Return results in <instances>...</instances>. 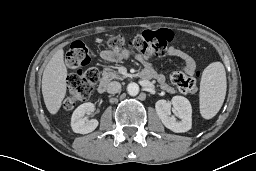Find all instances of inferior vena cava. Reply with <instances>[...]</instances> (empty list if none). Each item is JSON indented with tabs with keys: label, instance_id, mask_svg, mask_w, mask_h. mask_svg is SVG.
Here are the masks:
<instances>
[{
	"label": "inferior vena cava",
	"instance_id": "1",
	"mask_svg": "<svg viewBox=\"0 0 256 171\" xmlns=\"http://www.w3.org/2000/svg\"><path fill=\"white\" fill-rule=\"evenodd\" d=\"M107 92L110 94H116V93L121 92V84L116 81L110 82L107 85Z\"/></svg>",
	"mask_w": 256,
	"mask_h": 171
}]
</instances>
